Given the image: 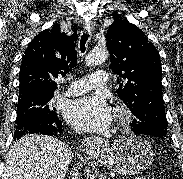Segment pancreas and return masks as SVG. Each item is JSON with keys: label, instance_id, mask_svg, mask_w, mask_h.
I'll return each instance as SVG.
<instances>
[{"label": "pancreas", "instance_id": "cf45deb5", "mask_svg": "<svg viewBox=\"0 0 183 179\" xmlns=\"http://www.w3.org/2000/svg\"><path fill=\"white\" fill-rule=\"evenodd\" d=\"M136 179H154V178H151L150 176H140L137 177Z\"/></svg>", "mask_w": 183, "mask_h": 179}]
</instances>
